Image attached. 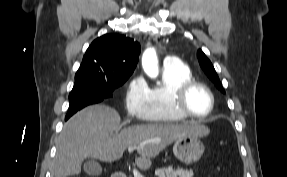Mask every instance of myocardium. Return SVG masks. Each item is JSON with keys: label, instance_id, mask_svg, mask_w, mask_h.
Wrapping results in <instances>:
<instances>
[{"label": "myocardium", "instance_id": "1", "mask_svg": "<svg viewBox=\"0 0 287 177\" xmlns=\"http://www.w3.org/2000/svg\"><path fill=\"white\" fill-rule=\"evenodd\" d=\"M196 87H200L204 89L208 93L210 100H211L210 109L208 113L203 116L194 114L193 112L189 110L187 106V97L189 93ZM174 107L180 114L186 117H190V118L197 119V120H205L213 114V111L215 109V96L209 86H207L206 84L202 82L192 79V80L185 82L178 88L174 96Z\"/></svg>", "mask_w": 287, "mask_h": 177}]
</instances>
